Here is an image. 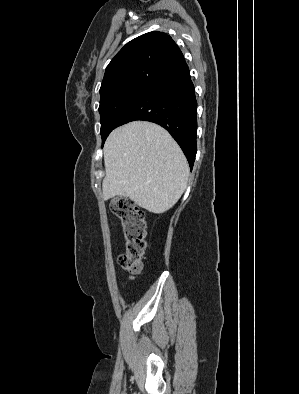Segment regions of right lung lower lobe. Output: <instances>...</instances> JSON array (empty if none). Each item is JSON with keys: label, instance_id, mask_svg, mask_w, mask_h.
I'll return each instance as SVG.
<instances>
[{"label": "right lung lower lobe", "instance_id": "98d812e1", "mask_svg": "<svg viewBox=\"0 0 299 394\" xmlns=\"http://www.w3.org/2000/svg\"><path fill=\"white\" fill-rule=\"evenodd\" d=\"M197 101L186 62L152 83L115 125L144 120L164 127L183 150L192 169L196 152Z\"/></svg>", "mask_w": 299, "mask_h": 394}]
</instances>
